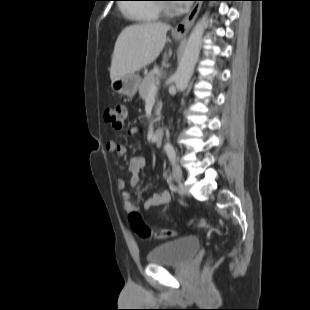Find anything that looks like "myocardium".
<instances>
[{
	"mask_svg": "<svg viewBox=\"0 0 310 310\" xmlns=\"http://www.w3.org/2000/svg\"><path fill=\"white\" fill-rule=\"evenodd\" d=\"M162 9H164L166 13H170V9L168 6H163Z\"/></svg>",
	"mask_w": 310,
	"mask_h": 310,
	"instance_id": "myocardium-1",
	"label": "myocardium"
}]
</instances>
